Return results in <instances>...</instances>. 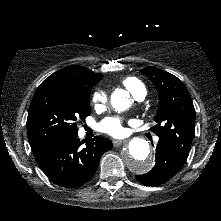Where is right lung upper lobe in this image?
I'll use <instances>...</instances> for the list:
<instances>
[{"label":"right lung upper lobe","mask_w":221,"mask_h":221,"mask_svg":"<svg viewBox=\"0 0 221 221\" xmlns=\"http://www.w3.org/2000/svg\"><path fill=\"white\" fill-rule=\"evenodd\" d=\"M102 77V74L94 73L85 67L70 65L55 72L43 82H90L102 79Z\"/></svg>","instance_id":"obj_1"}]
</instances>
